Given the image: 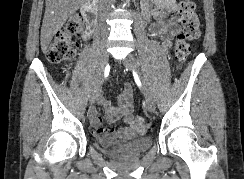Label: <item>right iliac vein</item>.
<instances>
[{"label":"right iliac vein","mask_w":244,"mask_h":179,"mask_svg":"<svg viewBox=\"0 0 244 179\" xmlns=\"http://www.w3.org/2000/svg\"><path fill=\"white\" fill-rule=\"evenodd\" d=\"M108 59H109L108 52L106 48L102 47L99 51L97 72L95 74L92 88L90 91V101L92 103L95 101V98L97 97L100 91L102 76H103L104 69L108 63Z\"/></svg>","instance_id":"right-iliac-vein-1"}]
</instances>
